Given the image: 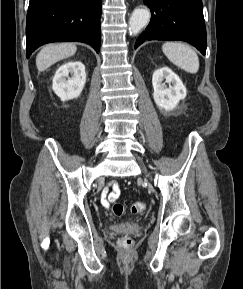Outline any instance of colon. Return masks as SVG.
Segmentation results:
<instances>
[{"label":"colon","instance_id":"colon-1","mask_svg":"<svg viewBox=\"0 0 243 289\" xmlns=\"http://www.w3.org/2000/svg\"><path fill=\"white\" fill-rule=\"evenodd\" d=\"M145 208H146L145 203L139 201V202H135V203L131 206L130 210H131V212H132L133 214H138V213H142V212L145 210ZM112 209H113V212H114L116 215H118V216L123 215L124 212H125L124 206H123L121 203H119V202H115V203L113 204ZM119 243H120V246H121V247H123V248H129V247L131 246V244H132V240H131L129 237H122V238L120 239Z\"/></svg>","mask_w":243,"mask_h":289}]
</instances>
